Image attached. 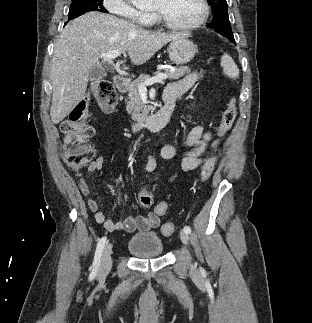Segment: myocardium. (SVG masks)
<instances>
[{
    "label": "myocardium",
    "instance_id": "f54148a6",
    "mask_svg": "<svg viewBox=\"0 0 312 323\" xmlns=\"http://www.w3.org/2000/svg\"><path fill=\"white\" fill-rule=\"evenodd\" d=\"M201 6L199 18L193 20H171L167 18L162 8L156 13V19L159 25H168L170 31H198V25H202L203 21H209L212 5L209 0H198Z\"/></svg>",
    "mask_w": 312,
    "mask_h": 323
}]
</instances>
